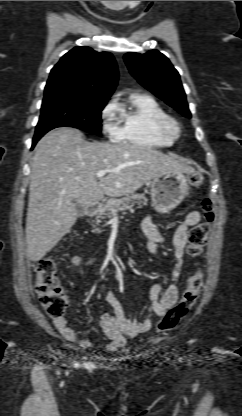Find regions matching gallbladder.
Instances as JSON below:
<instances>
[{
  "instance_id": "1",
  "label": "gallbladder",
  "mask_w": 242,
  "mask_h": 416,
  "mask_svg": "<svg viewBox=\"0 0 242 416\" xmlns=\"http://www.w3.org/2000/svg\"><path fill=\"white\" fill-rule=\"evenodd\" d=\"M75 208H76V211H77V214H78L79 217L84 216L85 211H86V207L84 205H81V204L75 202Z\"/></svg>"
}]
</instances>
